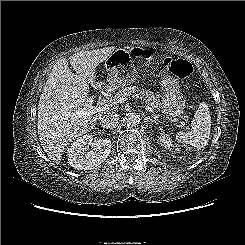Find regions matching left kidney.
<instances>
[{
    "mask_svg": "<svg viewBox=\"0 0 245 245\" xmlns=\"http://www.w3.org/2000/svg\"><path fill=\"white\" fill-rule=\"evenodd\" d=\"M160 140L163 143V145L168 148L173 146V143H172V140L169 134L161 133Z\"/></svg>",
    "mask_w": 245,
    "mask_h": 245,
    "instance_id": "5707ae66",
    "label": "left kidney"
}]
</instances>
